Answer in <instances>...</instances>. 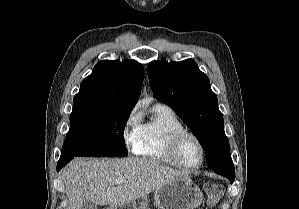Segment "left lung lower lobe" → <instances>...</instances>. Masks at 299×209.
Listing matches in <instances>:
<instances>
[{
  "mask_svg": "<svg viewBox=\"0 0 299 209\" xmlns=\"http://www.w3.org/2000/svg\"><path fill=\"white\" fill-rule=\"evenodd\" d=\"M213 170L215 173L228 178L230 182L233 183L235 179V169L231 158L227 162L217 168H214Z\"/></svg>",
  "mask_w": 299,
  "mask_h": 209,
  "instance_id": "0a47b994",
  "label": "left lung lower lobe"
}]
</instances>
